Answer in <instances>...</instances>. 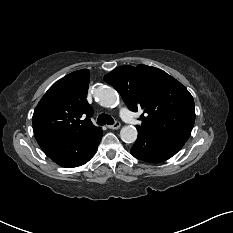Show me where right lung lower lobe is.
<instances>
[{
  "label": "right lung lower lobe",
  "mask_w": 233,
  "mask_h": 233,
  "mask_svg": "<svg viewBox=\"0 0 233 233\" xmlns=\"http://www.w3.org/2000/svg\"><path fill=\"white\" fill-rule=\"evenodd\" d=\"M102 129L75 140L44 139L37 141L44 153L62 167L72 168L88 162L102 139Z\"/></svg>",
  "instance_id": "1"
}]
</instances>
